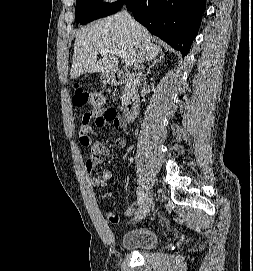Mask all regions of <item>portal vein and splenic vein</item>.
Wrapping results in <instances>:
<instances>
[{"label": "portal vein and splenic vein", "instance_id": "obj_1", "mask_svg": "<svg viewBox=\"0 0 253 271\" xmlns=\"http://www.w3.org/2000/svg\"><path fill=\"white\" fill-rule=\"evenodd\" d=\"M107 52H109V49H102L100 50V54L104 55ZM112 53H114L115 55L119 56L120 58H122L123 62L125 63V65L131 66L133 64L132 59L126 54L125 51L123 50H119V49H115V50H111Z\"/></svg>", "mask_w": 253, "mask_h": 271}]
</instances>
